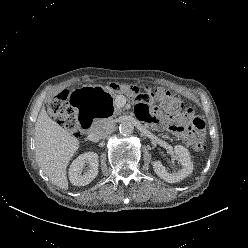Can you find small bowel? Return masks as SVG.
Here are the masks:
<instances>
[{"label": "small bowel", "mask_w": 248, "mask_h": 248, "mask_svg": "<svg viewBox=\"0 0 248 248\" xmlns=\"http://www.w3.org/2000/svg\"><path fill=\"white\" fill-rule=\"evenodd\" d=\"M136 115L141 120L151 123L156 128L165 127L168 131L181 138L187 145L194 144L198 139L204 137L203 131H196L190 128L191 113L170 116L165 120L157 109L146 104H138L135 108Z\"/></svg>", "instance_id": "c3829d8e"}]
</instances>
